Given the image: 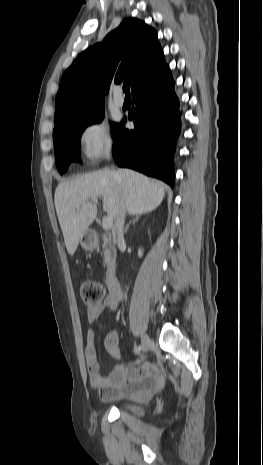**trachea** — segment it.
<instances>
[{"instance_id": "obj_1", "label": "trachea", "mask_w": 263, "mask_h": 465, "mask_svg": "<svg viewBox=\"0 0 263 465\" xmlns=\"http://www.w3.org/2000/svg\"><path fill=\"white\" fill-rule=\"evenodd\" d=\"M123 91L126 93V96L130 95V93H129V85L128 84L123 86Z\"/></svg>"}]
</instances>
